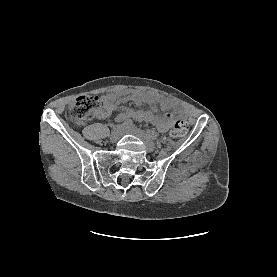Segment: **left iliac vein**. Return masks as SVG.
<instances>
[{
  "mask_svg": "<svg viewBox=\"0 0 277 277\" xmlns=\"http://www.w3.org/2000/svg\"><path fill=\"white\" fill-rule=\"evenodd\" d=\"M123 133L131 134L141 139L148 153H152L155 151V143L151 140V138L146 133H144L142 130L138 129L137 127L135 126L125 127L123 129Z\"/></svg>",
  "mask_w": 277,
  "mask_h": 277,
  "instance_id": "1",
  "label": "left iliac vein"
}]
</instances>
